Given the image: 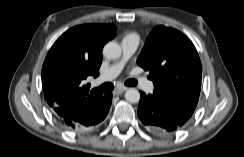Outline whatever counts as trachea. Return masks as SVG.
Masks as SVG:
<instances>
[{
	"label": "trachea",
	"mask_w": 244,
	"mask_h": 157,
	"mask_svg": "<svg viewBox=\"0 0 244 157\" xmlns=\"http://www.w3.org/2000/svg\"><path fill=\"white\" fill-rule=\"evenodd\" d=\"M125 85L136 86L137 81L134 79H130L125 82ZM113 89H114V86L111 83H104L100 87L93 89L92 93H108V92H111Z\"/></svg>",
	"instance_id": "trachea-1"
}]
</instances>
